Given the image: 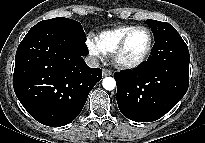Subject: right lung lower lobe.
Returning a JSON list of instances; mask_svg holds the SVG:
<instances>
[{"label":"right lung lower lobe","instance_id":"98d812e1","mask_svg":"<svg viewBox=\"0 0 205 143\" xmlns=\"http://www.w3.org/2000/svg\"><path fill=\"white\" fill-rule=\"evenodd\" d=\"M85 41L53 26H33L18 46L13 87L27 112L51 127L64 126L82 111L102 79L89 68Z\"/></svg>","mask_w":205,"mask_h":143}]
</instances>
